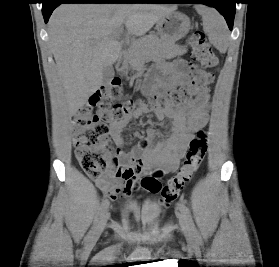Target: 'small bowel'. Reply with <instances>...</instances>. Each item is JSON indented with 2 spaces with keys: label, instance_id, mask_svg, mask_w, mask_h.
<instances>
[{
  "label": "small bowel",
  "instance_id": "1",
  "mask_svg": "<svg viewBox=\"0 0 279 267\" xmlns=\"http://www.w3.org/2000/svg\"><path fill=\"white\" fill-rule=\"evenodd\" d=\"M162 77H157L154 84L144 87L145 91L152 93L165 89L184 86L189 81L188 64L181 59L160 63L157 67ZM209 103L208 89L200 92L194 99L179 105H162L156 108L155 114L159 119H170L171 126L167 135H162L158 130L150 128L147 137L142 139L132 150L131 154L122 153L115 161L134 164L144 167V172L156 169L160 173L173 172L178 168L188 144L194 133L204 125L207 119V106ZM149 109L140 104L130 112L122 121L112 124L111 137L118 146L124 145L122 130L133 120L147 113ZM139 137V133L134 134ZM162 139L156 145L153 140L156 136ZM140 171L129 179H120L112 175H105L97 181L98 186L113 200L120 196H128L137 187Z\"/></svg>",
  "mask_w": 279,
  "mask_h": 267
}]
</instances>
